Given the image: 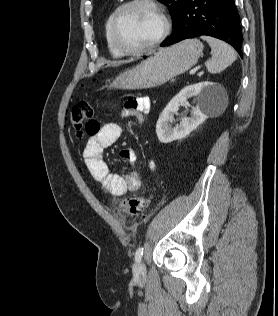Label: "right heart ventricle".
Returning <instances> with one entry per match:
<instances>
[{"label": "right heart ventricle", "mask_w": 278, "mask_h": 316, "mask_svg": "<svg viewBox=\"0 0 278 316\" xmlns=\"http://www.w3.org/2000/svg\"><path fill=\"white\" fill-rule=\"evenodd\" d=\"M118 7H119L118 4H114L113 6H111V8L108 10L103 21V33H104L105 41H106L110 54L114 58H120L124 56V53H122L114 44L113 39H112V34H111L112 17L115 11L118 9Z\"/></svg>", "instance_id": "1"}]
</instances>
